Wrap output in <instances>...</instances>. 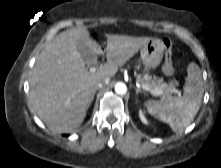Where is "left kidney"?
Wrapping results in <instances>:
<instances>
[{
	"instance_id": "5707ae66",
	"label": "left kidney",
	"mask_w": 221,
	"mask_h": 168,
	"mask_svg": "<svg viewBox=\"0 0 221 168\" xmlns=\"http://www.w3.org/2000/svg\"><path fill=\"white\" fill-rule=\"evenodd\" d=\"M139 117H140V119H141V121H142L143 123H145V124L148 123V121H147V119H146L144 113L142 112V110L139 111Z\"/></svg>"
}]
</instances>
